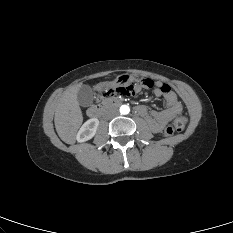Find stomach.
<instances>
[{"label": "stomach", "instance_id": "obj_1", "mask_svg": "<svg viewBox=\"0 0 233 233\" xmlns=\"http://www.w3.org/2000/svg\"><path fill=\"white\" fill-rule=\"evenodd\" d=\"M132 82H133V79L128 74H125L123 76L116 75L111 80L112 85L116 88H120L122 86L128 87L132 84Z\"/></svg>", "mask_w": 233, "mask_h": 233}]
</instances>
